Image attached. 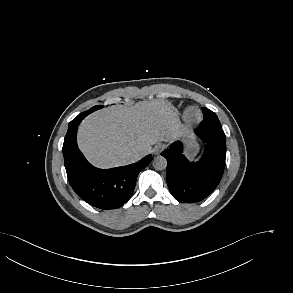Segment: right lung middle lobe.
I'll list each match as a JSON object with an SVG mask.
<instances>
[{"mask_svg": "<svg viewBox=\"0 0 293 293\" xmlns=\"http://www.w3.org/2000/svg\"><path fill=\"white\" fill-rule=\"evenodd\" d=\"M103 106H101V105H98V106H94V107H92L90 110H88L89 112H94V111H96V110H98V109H100V108H102Z\"/></svg>", "mask_w": 293, "mask_h": 293, "instance_id": "right-lung-middle-lobe-1", "label": "right lung middle lobe"}]
</instances>
